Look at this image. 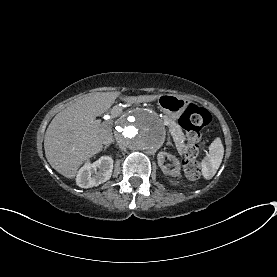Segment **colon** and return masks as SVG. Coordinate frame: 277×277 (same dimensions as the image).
<instances>
[{"instance_id":"5ec220e1","label":"colon","mask_w":277,"mask_h":277,"mask_svg":"<svg viewBox=\"0 0 277 277\" xmlns=\"http://www.w3.org/2000/svg\"><path fill=\"white\" fill-rule=\"evenodd\" d=\"M210 122V112L195 105H189L179 119L181 128L187 134L185 142L179 147L182 166L185 175L192 180L199 179L201 176L199 141Z\"/></svg>"}]
</instances>
